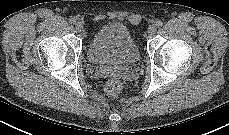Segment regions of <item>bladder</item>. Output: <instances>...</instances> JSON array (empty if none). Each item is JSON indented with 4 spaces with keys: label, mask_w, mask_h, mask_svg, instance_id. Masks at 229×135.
Here are the masks:
<instances>
[{
    "label": "bladder",
    "mask_w": 229,
    "mask_h": 135,
    "mask_svg": "<svg viewBox=\"0 0 229 135\" xmlns=\"http://www.w3.org/2000/svg\"><path fill=\"white\" fill-rule=\"evenodd\" d=\"M87 57L95 65H132L139 60L140 52L124 24L109 22L101 26L90 39Z\"/></svg>",
    "instance_id": "1"
}]
</instances>
